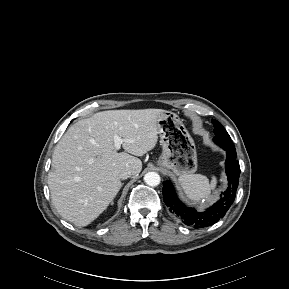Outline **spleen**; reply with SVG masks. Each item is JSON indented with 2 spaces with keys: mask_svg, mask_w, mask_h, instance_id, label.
<instances>
[{
  "mask_svg": "<svg viewBox=\"0 0 289 289\" xmlns=\"http://www.w3.org/2000/svg\"><path fill=\"white\" fill-rule=\"evenodd\" d=\"M178 181L186 196L193 202L208 198L217 184L215 176L209 181L206 176L201 174L182 175Z\"/></svg>",
  "mask_w": 289,
  "mask_h": 289,
  "instance_id": "3e777b00",
  "label": "spleen"
}]
</instances>
